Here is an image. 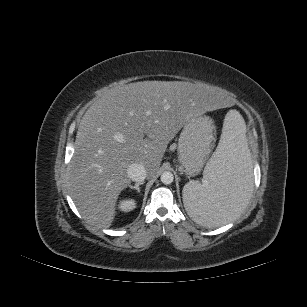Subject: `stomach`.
<instances>
[{
	"label": "stomach",
	"instance_id": "0dacf381",
	"mask_svg": "<svg viewBox=\"0 0 307 307\" xmlns=\"http://www.w3.org/2000/svg\"><path fill=\"white\" fill-rule=\"evenodd\" d=\"M215 125L207 115L190 118L178 140V160L188 176H196L208 160L215 141Z\"/></svg>",
	"mask_w": 307,
	"mask_h": 307
}]
</instances>
